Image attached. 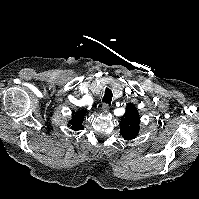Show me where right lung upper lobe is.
I'll use <instances>...</instances> for the list:
<instances>
[{
  "mask_svg": "<svg viewBox=\"0 0 199 199\" xmlns=\"http://www.w3.org/2000/svg\"><path fill=\"white\" fill-rule=\"evenodd\" d=\"M86 112V110H80L72 114V120L70 121V126L72 130L77 131L84 128L83 121Z\"/></svg>",
  "mask_w": 199,
  "mask_h": 199,
  "instance_id": "cb5924a9",
  "label": "right lung upper lobe"
}]
</instances>
